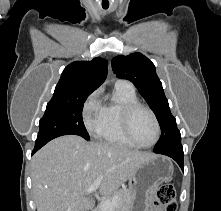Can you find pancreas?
I'll return each instance as SVG.
<instances>
[{
  "label": "pancreas",
  "instance_id": "1",
  "mask_svg": "<svg viewBox=\"0 0 221 211\" xmlns=\"http://www.w3.org/2000/svg\"><path fill=\"white\" fill-rule=\"evenodd\" d=\"M115 195L119 197L118 204L115 206L116 211H131L132 197L130 190H115L113 193L108 194L106 199H112ZM95 211H103L99 206L95 209Z\"/></svg>",
  "mask_w": 221,
  "mask_h": 211
}]
</instances>
